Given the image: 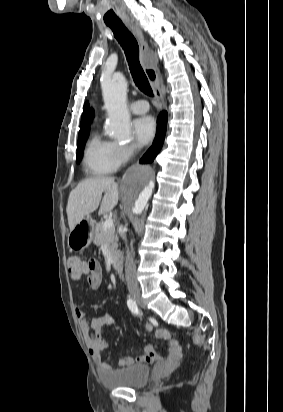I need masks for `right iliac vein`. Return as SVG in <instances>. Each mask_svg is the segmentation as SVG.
<instances>
[{
  "label": "right iliac vein",
  "mask_w": 283,
  "mask_h": 412,
  "mask_svg": "<svg viewBox=\"0 0 283 412\" xmlns=\"http://www.w3.org/2000/svg\"><path fill=\"white\" fill-rule=\"evenodd\" d=\"M132 297L140 304L143 305V299L139 288H132L129 290Z\"/></svg>",
  "instance_id": "63e3f726"
}]
</instances>
